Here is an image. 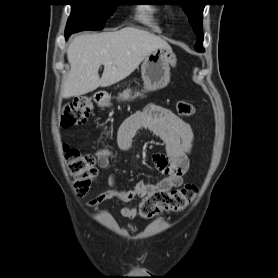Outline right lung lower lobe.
I'll use <instances>...</instances> for the list:
<instances>
[{
	"label": "right lung lower lobe",
	"instance_id": "right-lung-lower-lobe-1",
	"mask_svg": "<svg viewBox=\"0 0 278 278\" xmlns=\"http://www.w3.org/2000/svg\"><path fill=\"white\" fill-rule=\"evenodd\" d=\"M65 37H66V39H67V38L69 37V35H66V34H65Z\"/></svg>",
	"mask_w": 278,
	"mask_h": 278
}]
</instances>
